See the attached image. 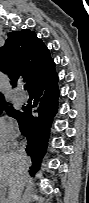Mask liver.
<instances>
[{
    "instance_id": "liver-1",
    "label": "liver",
    "mask_w": 89,
    "mask_h": 203,
    "mask_svg": "<svg viewBox=\"0 0 89 203\" xmlns=\"http://www.w3.org/2000/svg\"><path fill=\"white\" fill-rule=\"evenodd\" d=\"M30 164L31 161L28 157L26 160H21L14 152L0 155V190L2 197L6 194V188H9L8 198L4 200V203H14L18 183L22 179L21 170L26 167L28 171Z\"/></svg>"
}]
</instances>
